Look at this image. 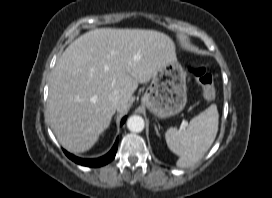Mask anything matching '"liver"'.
<instances>
[{"mask_svg": "<svg viewBox=\"0 0 272 198\" xmlns=\"http://www.w3.org/2000/svg\"><path fill=\"white\" fill-rule=\"evenodd\" d=\"M173 60V40L155 30L99 28L81 35L59 58L50 82L49 118L59 143L74 153L92 148L115 112L128 108L138 84ZM113 91L121 97L116 106L109 100Z\"/></svg>", "mask_w": 272, "mask_h": 198, "instance_id": "liver-1", "label": "liver"}]
</instances>
